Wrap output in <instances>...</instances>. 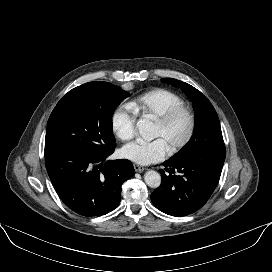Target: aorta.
<instances>
[{
    "label": "aorta",
    "mask_w": 272,
    "mask_h": 272,
    "mask_svg": "<svg viewBox=\"0 0 272 272\" xmlns=\"http://www.w3.org/2000/svg\"><path fill=\"white\" fill-rule=\"evenodd\" d=\"M139 134L146 141H150L155 138V126L153 122L148 119H141L137 123ZM144 180L146 184L151 188H158L161 184V176L158 172L150 170L145 173Z\"/></svg>",
    "instance_id": "762f6f07"
}]
</instances>
